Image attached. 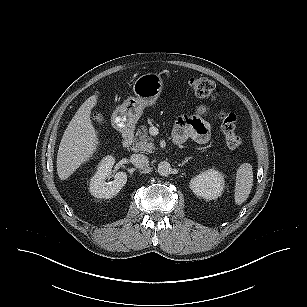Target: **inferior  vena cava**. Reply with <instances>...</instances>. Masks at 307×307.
Segmentation results:
<instances>
[{
    "label": "inferior vena cava",
    "mask_w": 307,
    "mask_h": 307,
    "mask_svg": "<svg viewBox=\"0 0 307 307\" xmlns=\"http://www.w3.org/2000/svg\"><path fill=\"white\" fill-rule=\"evenodd\" d=\"M131 163L140 169L147 168L149 165L148 157L143 154H133L130 157Z\"/></svg>",
    "instance_id": "inferior-vena-cava-1"
}]
</instances>
